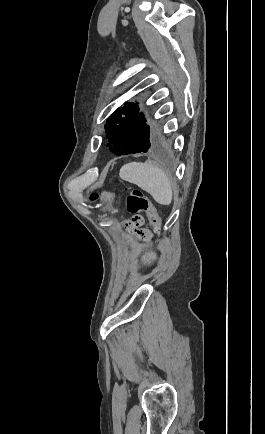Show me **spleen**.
<instances>
[{
  "label": "spleen",
  "mask_w": 265,
  "mask_h": 434,
  "mask_svg": "<svg viewBox=\"0 0 265 434\" xmlns=\"http://www.w3.org/2000/svg\"><path fill=\"white\" fill-rule=\"evenodd\" d=\"M120 178L130 184H136L145 192H148L154 198L157 204L162 206H169L172 202V188L171 184L163 170L153 166V164H138V162H131L125 164L120 168Z\"/></svg>",
  "instance_id": "1"
}]
</instances>
